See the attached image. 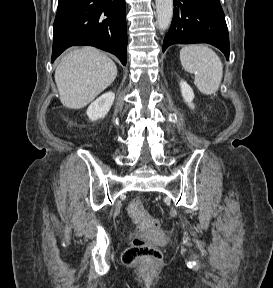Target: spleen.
<instances>
[{
    "label": "spleen",
    "instance_id": "spleen-1",
    "mask_svg": "<svg viewBox=\"0 0 273 288\" xmlns=\"http://www.w3.org/2000/svg\"><path fill=\"white\" fill-rule=\"evenodd\" d=\"M183 68L195 74V84L204 95L215 94L223 77L219 56L206 45H187L180 50Z\"/></svg>",
    "mask_w": 273,
    "mask_h": 288
}]
</instances>
